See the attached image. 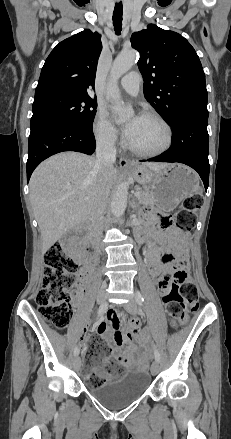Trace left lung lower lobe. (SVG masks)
<instances>
[{"label":"left lung lower lobe","instance_id":"obj_1","mask_svg":"<svg viewBox=\"0 0 231 439\" xmlns=\"http://www.w3.org/2000/svg\"><path fill=\"white\" fill-rule=\"evenodd\" d=\"M207 123V109L188 110L177 115L171 125L173 130L171 147L147 161L186 164L199 173L207 190L210 171Z\"/></svg>","mask_w":231,"mask_h":439}]
</instances>
